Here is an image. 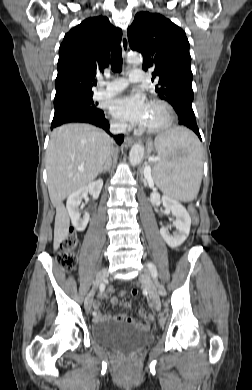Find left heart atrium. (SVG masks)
I'll list each match as a JSON object with an SVG mask.
<instances>
[{
  "instance_id": "1",
  "label": "left heart atrium",
  "mask_w": 252,
  "mask_h": 390,
  "mask_svg": "<svg viewBox=\"0 0 252 390\" xmlns=\"http://www.w3.org/2000/svg\"><path fill=\"white\" fill-rule=\"evenodd\" d=\"M148 108L145 97L134 93L115 98L110 104V109L116 117L134 125L144 124Z\"/></svg>"
}]
</instances>
